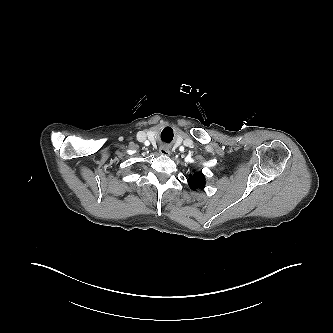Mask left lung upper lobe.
<instances>
[{"label":"left lung upper lobe","instance_id":"1","mask_svg":"<svg viewBox=\"0 0 333 333\" xmlns=\"http://www.w3.org/2000/svg\"><path fill=\"white\" fill-rule=\"evenodd\" d=\"M188 184L192 190L202 189L205 186V177L202 172H196L194 175L190 174Z\"/></svg>","mask_w":333,"mask_h":333}]
</instances>
